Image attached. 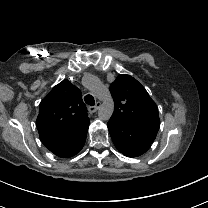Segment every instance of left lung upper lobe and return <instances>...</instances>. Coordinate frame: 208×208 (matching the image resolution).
<instances>
[{
  "instance_id": "left-lung-upper-lobe-1",
  "label": "left lung upper lobe",
  "mask_w": 208,
  "mask_h": 208,
  "mask_svg": "<svg viewBox=\"0 0 208 208\" xmlns=\"http://www.w3.org/2000/svg\"><path fill=\"white\" fill-rule=\"evenodd\" d=\"M115 107L110 120L133 127L153 143L160 127L158 108L132 76L120 74L110 86Z\"/></svg>"
}]
</instances>
